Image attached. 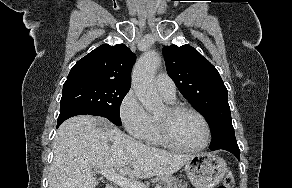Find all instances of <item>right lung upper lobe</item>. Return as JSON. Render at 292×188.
<instances>
[{
    "label": "right lung upper lobe",
    "instance_id": "cb5924a9",
    "mask_svg": "<svg viewBox=\"0 0 292 188\" xmlns=\"http://www.w3.org/2000/svg\"><path fill=\"white\" fill-rule=\"evenodd\" d=\"M135 54L124 44H103L80 59L71 69L67 80H94L129 87Z\"/></svg>",
    "mask_w": 292,
    "mask_h": 188
}]
</instances>
